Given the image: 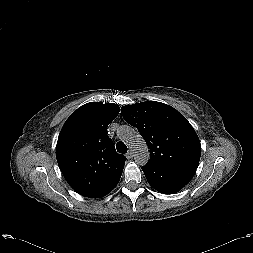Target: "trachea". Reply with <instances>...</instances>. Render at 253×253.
Returning <instances> with one entry per match:
<instances>
[{
    "label": "trachea",
    "instance_id": "obj_1",
    "mask_svg": "<svg viewBox=\"0 0 253 253\" xmlns=\"http://www.w3.org/2000/svg\"><path fill=\"white\" fill-rule=\"evenodd\" d=\"M116 149H117V151H118L119 153H121V154L127 153V146H126V144L123 143L122 141L117 142V144H116Z\"/></svg>",
    "mask_w": 253,
    "mask_h": 253
}]
</instances>
